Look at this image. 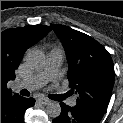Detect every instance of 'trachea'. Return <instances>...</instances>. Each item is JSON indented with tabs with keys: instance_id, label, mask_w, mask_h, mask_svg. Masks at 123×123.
Returning a JSON list of instances; mask_svg holds the SVG:
<instances>
[{
	"instance_id": "1",
	"label": "trachea",
	"mask_w": 123,
	"mask_h": 123,
	"mask_svg": "<svg viewBox=\"0 0 123 123\" xmlns=\"http://www.w3.org/2000/svg\"><path fill=\"white\" fill-rule=\"evenodd\" d=\"M20 94L23 96H29L30 92L26 89H23L20 91ZM50 99L55 100V101H61L63 99V95L53 94V95H50Z\"/></svg>"
}]
</instances>
